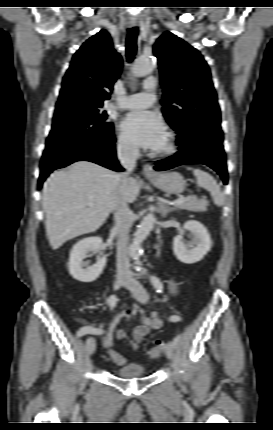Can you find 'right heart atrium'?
I'll return each instance as SVG.
<instances>
[{"label": "right heart atrium", "mask_w": 273, "mask_h": 430, "mask_svg": "<svg viewBox=\"0 0 273 430\" xmlns=\"http://www.w3.org/2000/svg\"><path fill=\"white\" fill-rule=\"evenodd\" d=\"M117 149L124 156H133L136 154V148L130 144L123 136L117 140Z\"/></svg>", "instance_id": "obj_1"}]
</instances>
